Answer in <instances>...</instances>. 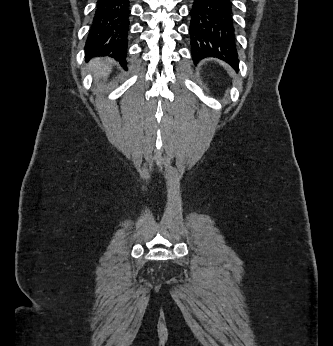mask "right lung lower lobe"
I'll return each instance as SVG.
<instances>
[{"mask_svg": "<svg viewBox=\"0 0 333 346\" xmlns=\"http://www.w3.org/2000/svg\"><path fill=\"white\" fill-rule=\"evenodd\" d=\"M129 0H97L85 45V57H113L125 67L130 30Z\"/></svg>", "mask_w": 333, "mask_h": 346, "instance_id": "98d812e1", "label": "right lung lower lobe"}]
</instances>
